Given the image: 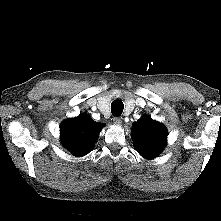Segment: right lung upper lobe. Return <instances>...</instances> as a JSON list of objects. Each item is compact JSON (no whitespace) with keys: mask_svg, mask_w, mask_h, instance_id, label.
<instances>
[{"mask_svg":"<svg viewBox=\"0 0 221 221\" xmlns=\"http://www.w3.org/2000/svg\"><path fill=\"white\" fill-rule=\"evenodd\" d=\"M102 127L87 114L68 119L60 127L62 143L74 156H84L94 148Z\"/></svg>","mask_w":221,"mask_h":221,"instance_id":"cb5924a9","label":"right lung upper lobe"}]
</instances>
